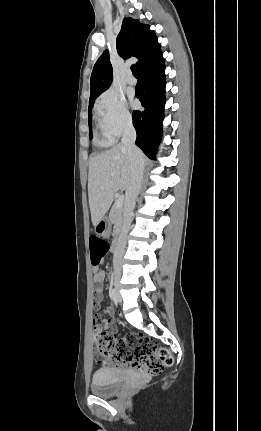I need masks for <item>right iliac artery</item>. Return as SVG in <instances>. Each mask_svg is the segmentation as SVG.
<instances>
[{
    "label": "right iliac artery",
    "mask_w": 261,
    "mask_h": 431,
    "mask_svg": "<svg viewBox=\"0 0 261 431\" xmlns=\"http://www.w3.org/2000/svg\"><path fill=\"white\" fill-rule=\"evenodd\" d=\"M110 297L115 301L116 300V292L115 289L110 290Z\"/></svg>",
    "instance_id": "82829eb1"
}]
</instances>
